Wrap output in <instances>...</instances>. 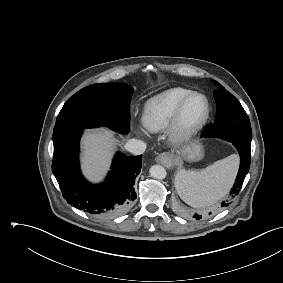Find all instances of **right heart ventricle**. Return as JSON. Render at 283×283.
Returning a JSON list of instances; mask_svg holds the SVG:
<instances>
[{
  "label": "right heart ventricle",
  "instance_id": "obj_1",
  "mask_svg": "<svg viewBox=\"0 0 283 283\" xmlns=\"http://www.w3.org/2000/svg\"><path fill=\"white\" fill-rule=\"evenodd\" d=\"M189 92L191 90L187 88L175 87L148 99L142 112L143 127L151 133H158L166 129L177 105Z\"/></svg>",
  "mask_w": 283,
  "mask_h": 283
}]
</instances>
